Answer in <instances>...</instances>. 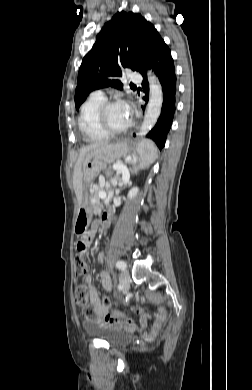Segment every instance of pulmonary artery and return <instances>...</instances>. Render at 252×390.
<instances>
[{"instance_id": "1", "label": "pulmonary artery", "mask_w": 252, "mask_h": 390, "mask_svg": "<svg viewBox=\"0 0 252 390\" xmlns=\"http://www.w3.org/2000/svg\"><path fill=\"white\" fill-rule=\"evenodd\" d=\"M130 80H131L132 82H137V81H140V80H141V77H140V75H138V74H136V73H132V74L130 75ZM92 95L99 96V97H105L102 90H96V91H94V92L92 93Z\"/></svg>"}]
</instances>
